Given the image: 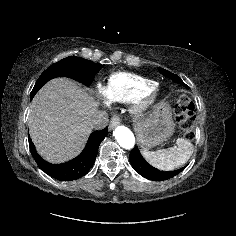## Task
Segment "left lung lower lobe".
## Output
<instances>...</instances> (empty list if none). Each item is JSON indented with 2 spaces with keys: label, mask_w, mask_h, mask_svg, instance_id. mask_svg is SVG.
Instances as JSON below:
<instances>
[{
  "label": "left lung lower lobe",
  "mask_w": 236,
  "mask_h": 236,
  "mask_svg": "<svg viewBox=\"0 0 236 236\" xmlns=\"http://www.w3.org/2000/svg\"><path fill=\"white\" fill-rule=\"evenodd\" d=\"M129 159L131 161V164L133 165L134 169L143 177L154 180V181H161V180H167L175 175L179 174L182 170L186 168H180L175 171H160L154 167H152L150 164H148L144 158L142 157L139 149L137 147H134L129 155Z\"/></svg>",
  "instance_id": "left-lung-lower-lobe-1"
}]
</instances>
